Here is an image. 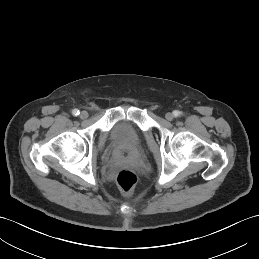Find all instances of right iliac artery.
I'll list each match as a JSON object with an SVG mask.
<instances>
[{"label": "right iliac artery", "mask_w": 259, "mask_h": 259, "mask_svg": "<svg viewBox=\"0 0 259 259\" xmlns=\"http://www.w3.org/2000/svg\"><path fill=\"white\" fill-rule=\"evenodd\" d=\"M79 110L78 109H74L73 111H72V114L74 115V116H78L79 115Z\"/></svg>", "instance_id": "right-iliac-artery-1"}]
</instances>
